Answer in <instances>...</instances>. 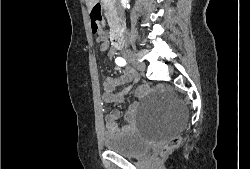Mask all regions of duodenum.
Returning <instances> with one entry per match:
<instances>
[{
    "label": "duodenum",
    "instance_id": "duodenum-1",
    "mask_svg": "<svg viewBox=\"0 0 250 169\" xmlns=\"http://www.w3.org/2000/svg\"><path fill=\"white\" fill-rule=\"evenodd\" d=\"M109 40L114 48L120 49L121 47H123L126 42L123 27L113 26L112 30L109 33Z\"/></svg>",
    "mask_w": 250,
    "mask_h": 169
}]
</instances>
